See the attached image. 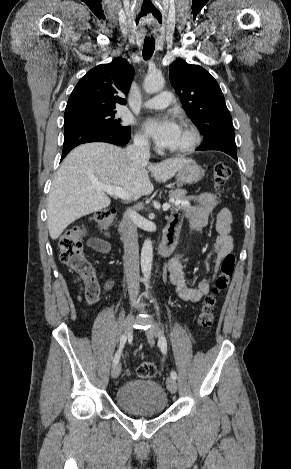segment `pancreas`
<instances>
[{
  "instance_id": "obj_1",
  "label": "pancreas",
  "mask_w": 291,
  "mask_h": 469,
  "mask_svg": "<svg viewBox=\"0 0 291 469\" xmlns=\"http://www.w3.org/2000/svg\"><path fill=\"white\" fill-rule=\"evenodd\" d=\"M187 191L183 189L171 190L169 192V198L173 199V205L180 204L186 198Z\"/></svg>"
}]
</instances>
